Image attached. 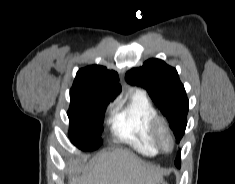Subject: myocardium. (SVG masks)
I'll return each mask as SVG.
<instances>
[{
  "label": "myocardium",
  "instance_id": "obj_1",
  "mask_svg": "<svg viewBox=\"0 0 235 184\" xmlns=\"http://www.w3.org/2000/svg\"><path fill=\"white\" fill-rule=\"evenodd\" d=\"M151 132H152V139H153L154 145L158 151H160L164 154H169L175 149V147H176L175 135H174L172 129L169 127V125L167 124V122L164 119H162L160 117H156L154 119V121L152 122ZM163 132L168 133L171 137V140H172L171 150H166L160 143V135Z\"/></svg>",
  "mask_w": 235,
  "mask_h": 184
}]
</instances>
